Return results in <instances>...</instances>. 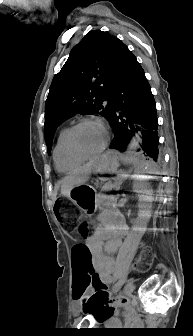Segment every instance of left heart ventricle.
<instances>
[{
  "mask_svg": "<svg viewBox=\"0 0 193 336\" xmlns=\"http://www.w3.org/2000/svg\"><path fill=\"white\" fill-rule=\"evenodd\" d=\"M104 131L96 123H87L81 126L75 134L77 146L85 152H94L99 149L104 141Z\"/></svg>",
  "mask_w": 193,
  "mask_h": 336,
  "instance_id": "b2bd125f",
  "label": "left heart ventricle"
}]
</instances>
